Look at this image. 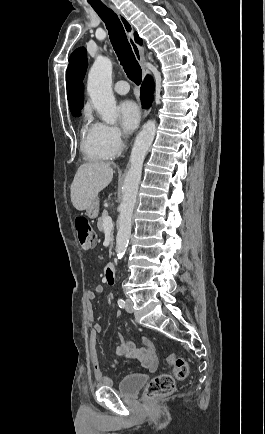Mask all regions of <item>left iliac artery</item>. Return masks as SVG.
Returning <instances> with one entry per match:
<instances>
[{
	"mask_svg": "<svg viewBox=\"0 0 265 434\" xmlns=\"http://www.w3.org/2000/svg\"><path fill=\"white\" fill-rule=\"evenodd\" d=\"M117 302H118V306L120 308H124L125 307V301L122 298H119Z\"/></svg>",
	"mask_w": 265,
	"mask_h": 434,
	"instance_id": "1",
	"label": "left iliac artery"
}]
</instances>
